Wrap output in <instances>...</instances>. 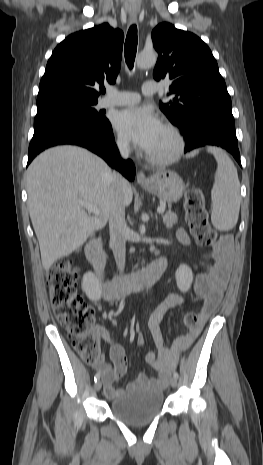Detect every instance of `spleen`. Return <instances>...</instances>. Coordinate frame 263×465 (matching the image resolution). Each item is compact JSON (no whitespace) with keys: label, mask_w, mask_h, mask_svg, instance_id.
<instances>
[{"label":"spleen","mask_w":263,"mask_h":465,"mask_svg":"<svg viewBox=\"0 0 263 465\" xmlns=\"http://www.w3.org/2000/svg\"><path fill=\"white\" fill-rule=\"evenodd\" d=\"M217 161L215 180L211 190V222L220 231L235 227L240 209V182L236 167L224 151L208 147ZM198 151L191 153L195 155Z\"/></svg>","instance_id":"obj_1"}]
</instances>
